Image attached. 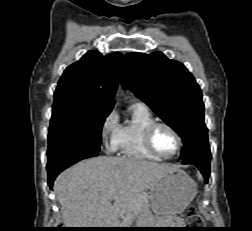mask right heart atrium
Returning a JSON list of instances; mask_svg holds the SVG:
<instances>
[{
	"instance_id": "right-heart-atrium-1",
	"label": "right heart atrium",
	"mask_w": 252,
	"mask_h": 231,
	"mask_svg": "<svg viewBox=\"0 0 252 231\" xmlns=\"http://www.w3.org/2000/svg\"><path fill=\"white\" fill-rule=\"evenodd\" d=\"M119 131V118L115 111H110L103 119L100 135L103 141L108 142L111 149H115V139Z\"/></svg>"
}]
</instances>
